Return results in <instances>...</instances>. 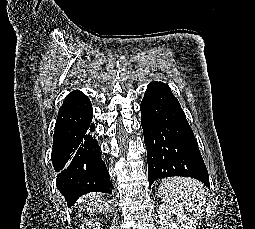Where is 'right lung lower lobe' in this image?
Returning a JSON list of instances; mask_svg holds the SVG:
<instances>
[{
  "instance_id": "obj_1",
  "label": "right lung lower lobe",
  "mask_w": 255,
  "mask_h": 229,
  "mask_svg": "<svg viewBox=\"0 0 255 229\" xmlns=\"http://www.w3.org/2000/svg\"><path fill=\"white\" fill-rule=\"evenodd\" d=\"M92 118L91 102L79 90L65 98L58 112L51 159L59 172L57 188L69 206L89 192L112 194L108 170L92 135L95 131Z\"/></svg>"
}]
</instances>
